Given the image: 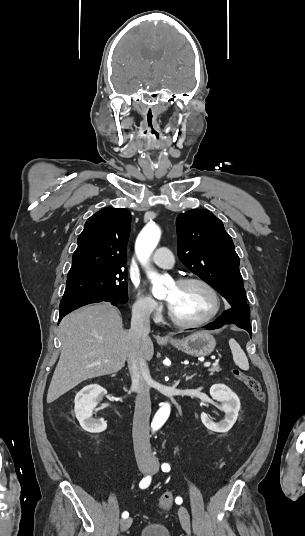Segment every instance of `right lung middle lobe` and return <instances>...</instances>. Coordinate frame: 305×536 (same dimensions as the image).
<instances>
[{
	"instance_id": "1",
	"label": "right lung middle lobe",
	"mask_w": 305,
	"mask_h": 536,
	"mask_svg": "<svg viewBox=\"0 0 305 536\" xmlns=\"http://www.w3.org/2000/svg\"><path fill=\"white\" fill-rule=\"evenodd\" d=\"M127 270L92 272L67 278L62 299L97 298L120 303L128 301Z\"/></svg>"
}]
</instances>
